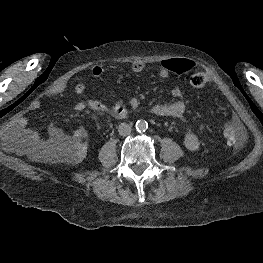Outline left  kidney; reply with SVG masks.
<instances>
[{"instance_id":"obj_1","label":"left kidney","mask_w":263,"mask_h":263,"mask_svg":"<svg viewBox=\"0 0 263 263\" xmlns=\"http://www.w3.org/2000/svg\"><path fill=\"white\" fill-rule=\"evenodd\" d=\"M184 146L191 151H196L200 147V141L198 137L191 132H187L184 137Z\"/></svg>"}]
</instances>
